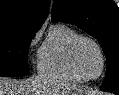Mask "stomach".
<instances>
[{
  "label": "stomach",
  "mask_w": 119,
  "mask_h": 95,
  "mask_svg": "<svg viewBox=\"0 0 119 95\" xmlns=\"http://www.w3.org/2000/svg\"><path fill=\"white\" fill-rule=\"evenodd\" d=\"M69 95H89L87 92H83L82 90L75 89L70 92Z\"/></svg>",
  "instance_id": "0dacf381"
}]
</instances>
